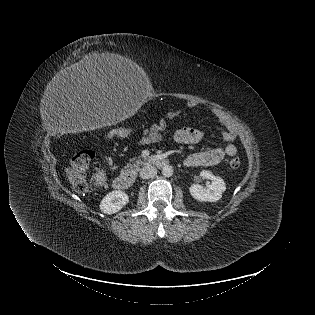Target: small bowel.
Here are the masks:
<instances>
[{
	"mask_svg": "<svg viewBox=\"0 0 315 315\" xmlns=\"http://www.w3.org/2000/svg\"><path fill=\"white\" fill-rule=\"evenodd\" d=\"M187 105L193 108L197 106V103L188 101ZM181 113L182 110L180 109L164 113L156 123L142 132L137 140V144L147 145L161 142L169 135V123L178 118ZM211 113L225 128L221 131V136L226 145L223 148L216 147L188 155L184 160V164L187 167L216 166L221 164L226 156H235L237 153V148L234 145L237 132L229 116L217 108H212ZM204 135V132L200 129L184 127L176 130L171 137L176 143L188 145L198 143L204 138Z\"/></svg>",
	"mask_w": 315,
	"mask_h": 315,
	"instance_id": "1",
	"label": "small bowel"
}]
</instances>
